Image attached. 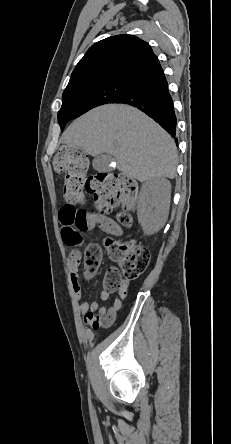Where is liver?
<instances>
[{"mask_svg": "<svg viewBox=\"0 0 231 444\" xmlns=\"http://www.w3.org/2000/svg\"><path fill=\"white\" fill-rule=\"evenodd\" d=\"M61 142L91 156L113 155L117 168L140 182L176 175L174 140L132 106L107 104L90 110L66 129Z\"/></svg>", "mask_w": 231, "mask_h": 444, "instance_id": "6515ba94", "label": "liver"}]
</instances>
